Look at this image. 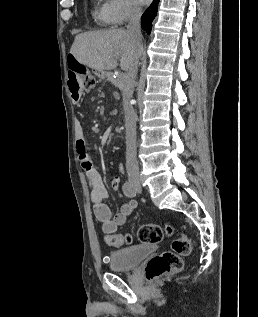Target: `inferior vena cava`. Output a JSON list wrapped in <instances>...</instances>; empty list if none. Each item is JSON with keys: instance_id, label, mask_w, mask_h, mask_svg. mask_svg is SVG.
Here are the masks:
<instances>
[{"instance_id": "obj_1", "label": "inferior vena cava", "mask_w": 258, "mask_h": 317, "mask_svg": "<svg viewBox=\"0 0 258 317\" xmlns=\"http://www.w3.org/2000/svg\"><path fill=\"white\" fill-rule=\"evenodd\" d=\"M140 16L141 8L138 4H134L133 10L130 14V20L127 24V32H130L131 38L136 42L138 48H141L142 34L140 30ZM138 56H134V60L129 66L128 78L126 84L129 88L128 96L132 98L133 86L135 84V78H137L138 72ZM125 126H126V167L128 171V177L130 180H139V167L137 161V144H136V112L132 104H125Z\"/></svg>"}]
</instances>
